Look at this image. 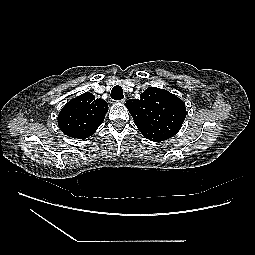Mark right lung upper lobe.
Here are the masks:
<instances>
[{
    "label": "right lung upper lobe",
    "instance_id": "right-lung-upper-lobe-1",
    "mask_svg": "<svg viewBox=\"0 0 255 255\" xmlns=\"http://www.w3.org/2000/svg\"><path fill=\"white\" fill-rule=\"evenodd\" d=\"M108 104L103 99L86 92L70 100L58 115L61 131L72 138L85 139L91 136L102 124Z\"/></svg>",
    "mask_w": 255,
    "mask_h": 255
}]
</instances>
